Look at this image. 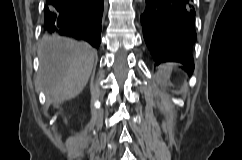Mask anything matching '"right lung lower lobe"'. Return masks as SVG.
<instances>
[{"mask_svg":"<svg viewBox=\"0 0 242 160\" xmlns=\"http://www.w3.org/2000/svg\"><path fill=\"white\" fill-rule=\"evenodd\" d=\"M104 0H46L44 33L83 39L98 48Z\"/></svg>","mask_w":242,"mask_h":160,"instance_id":"1","label":"right lung lower lobe"}]
</instances>
